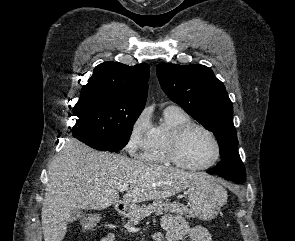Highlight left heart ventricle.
<instances>
[{
	"mask_svg": "<svg viewBox=\"0 0 295 241\" xmlns=\"http://www.w3.org/2000/svg\"><path fill=\"white\" fill-rule=\"evenodd\" d=\"M215 144L208 134L200 129H192L180 145V157L191 165H205L215 156Z\"/></svg>",
	"mask_w": 295,
	"mask_h": 241,
	"instance_id": "1",
	"label": "left heart ventricle"
}]
</instances>
